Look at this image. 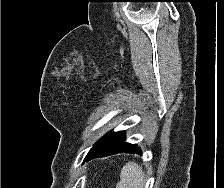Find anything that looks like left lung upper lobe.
<instances>
[{
  "instance_id": "5c2ea615",
  "label": "left lung upper lobe",
  "mask_w": 224,
  "mask_h": 188,
  "mask_svg": "<svg viewBox=\"0 0 224 188\" xmlns=\"http://www.w3.org/2000/svg\"><path fill=\"white\" fill-rule=\"evenodd\" d=\"M100 140H101V139H100ZM100 140H99V141H100ZM99 141H98V142H99ZM98 142H97V143H98ZM97 143H96V144H97ZM96 144H95L92 148H94V147L96 146Z\"/></svg>"
}]
</instances>
